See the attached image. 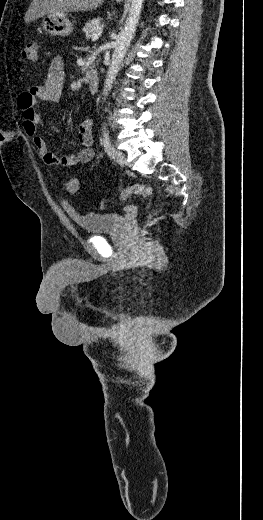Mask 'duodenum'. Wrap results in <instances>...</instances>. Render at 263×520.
Wrapping results in <instances>:
<instances>
[{"label":"duodenum","mask_w":263,"mask_h":520,"mask_svg":"<svg viewBox=\"0 0 263 520\" xmlns=\"http://www.w3.org/2000/svg\"><path fill=\"white\" fill-rule=\"evenodd\" d=\"M88 88L91 94H96L99 89L98 77L94 73H88L86 76Z\"/></svg>","instance_id":"duodenum-1"}]
</instances>
